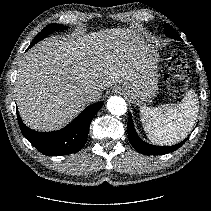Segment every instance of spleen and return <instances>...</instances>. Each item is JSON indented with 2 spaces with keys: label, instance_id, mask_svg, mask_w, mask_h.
Here are the masks:
<instances>
[{
  "label": "spleen",
  "instance_id": "1",
  "mask_svg": "<svg viewBox=\"0 0 211 211\" xmlns=\"http://www.w3.org/2000/svg\"><path fill=\"white\" fill-rule=\"evenodd\" d=\"M198 110L197 94L191 89L179 104L157 108L143 106L140 116L144 130L152 142L172 145L185 139L191 132Z\"/></svg>",
  "mask_w": 211,
  "mask_h": 211
}]
</instances>
